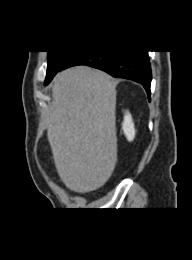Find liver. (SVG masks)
Returning a JSON list of instances; mask_svg holds the SVG:
<instances>
[{"label":"liver","mask_w":192,"mask_h":260,"mask_svg":"<svg viewBox=\"0 0 192 260\" xmlns=\"http://www.w3.org/2000/svg\"><path fill=\"white\" fill-rule=\"evenodd\" d=\"M116 82L86 66L57 74L47 137L65 186L85 193L106 183L117 160Z\"/></svg>","instance_id":"obj_1"}]
</instances>
